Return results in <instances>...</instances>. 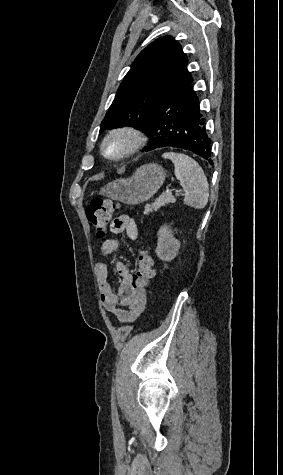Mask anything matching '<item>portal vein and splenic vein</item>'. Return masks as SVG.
Here are the masks:
<instances>
[{
  "mask_svg": "<svg viewBox=\"0 0 283 475\" xmlns=\"http://www.w3.org/2000/svg\"><path fill=\"white\" fill-rule=\"evenodd\" d=\"M173 194L176 199H180L182 198L184 191L182 189H176L173 191Z\"/></svg>",
  "mask_w": 283,
  "mask_h": 475,
  "instance_id": "18ae733b",
  "label": "portal vein and splenic vein"
}]
</instances>
